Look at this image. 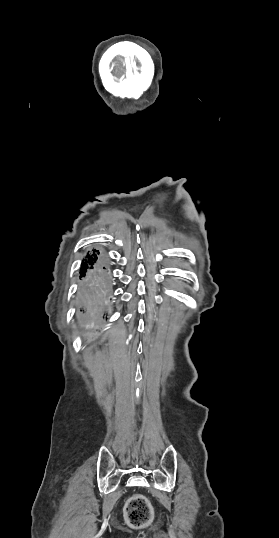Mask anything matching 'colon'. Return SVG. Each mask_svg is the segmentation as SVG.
<instances>
[{
  "mask_svg": "<svg viewBox=\"0 0 279 538\" xmlns=\"http://www.w3.org/2000/svg\"><path fill=\"white\" fill-rule=\"evenodd\" d=\"M127 522L133 527H141L149 523L152 517V507L142 495L131 497L125 507Z\"/></svg>",
  "mask_w": 279,
  "mask_h": 538,
  "instance_id": "1",
  "label": "colon"
}]
</instances>
